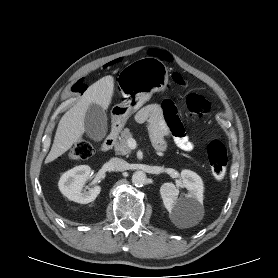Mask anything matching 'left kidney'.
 Returning <instances> with one entry per match:
<instances>
[{"label":"left kidney","instance_id":"obj_1","mask_svg":"<svg viewBox=\"0 0 278 278\" xmlns=\"http://www.w3.org/2000/svg\"><path fill=\"white\" fill-rule=\"evenodd\" d=\"M179 186L188 190L183 198H178ZM179 186L164 183L160 188V194L165 208L174 220L190 221L203 210V181L195 172L182 170Z\"/></svg>","mask_w":278,"mask_h":278}]
</instances>
